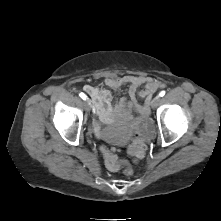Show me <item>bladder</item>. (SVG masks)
<instances>
[{"label":"bladder","mask_w":221,"mask_h":221,"mask_svg":"<svg viewBox=\"0 0 221 221\" xmlns=\"http://www.w3.org/2000/svg\"><path fill=\"white\" fill-rule=\"evenodd\" d=\"M107 139L113 145H122L125 142V139L122 136L113 134L111 132L107 133Z\"/></svg>","instance_id":"obj_1"}]
</instances>
